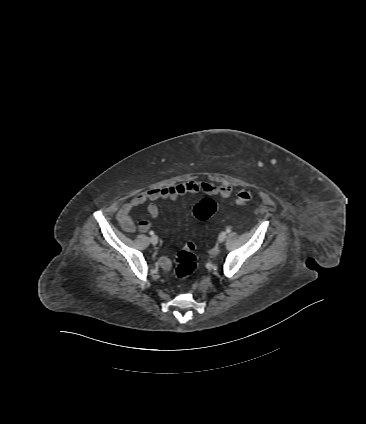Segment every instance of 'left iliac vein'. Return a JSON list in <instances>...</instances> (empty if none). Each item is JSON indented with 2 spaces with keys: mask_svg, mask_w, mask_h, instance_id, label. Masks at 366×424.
Returning <instances> with one entry per match:
<instances>
[{
  "mask_svg": "<svg viewBox=\"0 0 366 424\" xmlns=\"http://www.w3.org/2000/svg\"><path fill=\"white\" fill-rule=\"evenodd\" d=\"M225 239H226V232H221L218 237V241L223 242Z\"/></svg>",
  "mask_w": 366,
  "mask_h": 424,
  "instance_id": "1",
  "label": "left iliac vein"
}]
</instances>
